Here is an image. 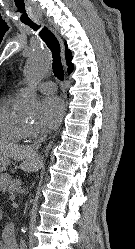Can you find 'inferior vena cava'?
Masks as SVG:
<instances>
[{
	"label": "inferior vena cava",
	"mask_w": 135,
	"mask_h": 249,
	"mask_svg": "<svg viewBox=\"0 0 135 249\" xmlns=\"http://www.w3.org/2000/svg\"><path fill=\"white\" fill-rule=\"evenodd\" d=\"M46 137H47V132L46 131H42L41 137L38 138V139H36L34 141V143L31 146V148L35 151V153H37L38 148L41 147V144L46 139ZM20 249H27V246H26L24 240H21V242H20Z\"/></svg>",
	"instance_id": "inferior-vena-cava-1"
}]
</instances>
